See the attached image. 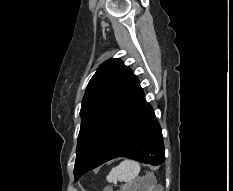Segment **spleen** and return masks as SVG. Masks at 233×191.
I'll return each mask as SVG.
<instances>
[{"instance_id":"obj_1","label":"spleen","mask_w":233,"mask_h":191,"mask_svg":"<svg viewBox=\"0 0 233 191\" xmlns=\"http://www.w3.org/2000/svg\"><path fill=\"white\" fill-rule=\"evenodd\" d=\"M140 172V165L138 162L132 160H124L118 166L111 169L107 175L108 182L123 181L131 182Z\"/></svg>"}]
</instances>
